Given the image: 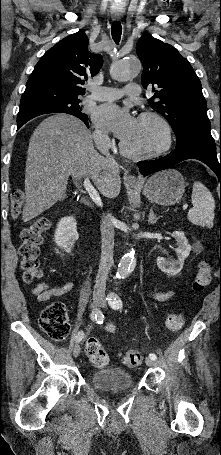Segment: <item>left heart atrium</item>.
<instances>
[{"instance_id":"1","label":"left heart atrium","mask_w":221,"mask_h":455,"mask_svg":"<svg viewBox=\"0 0 221 455\" xmlns=\"http://www.w3.org/2000/svg\"><path fill=\"white\" fill-rule=\"evenodd\" d=\"M137 120L128 109L112 104L100 106L94 113V122L98 126L112 131L123 141L133 134Z\"/></svg>"}]
</instances>
